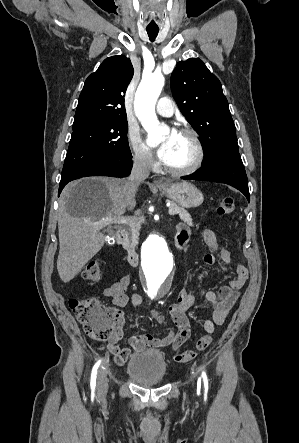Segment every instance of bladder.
Returning a JSON list of instances; mask_svg holds the SVG:
<instances>
[{"instance_id":"1","label":"bladder","mask_w":299,"mask_h":443,"mask_svg":"<svg viewBox=\"0 0 299 443\" xmlns=\"http://www.w3.org/2000/svg\"><path fill=\"white\" fill-rule=\"evenodd\" d=\"M167 364L158 350L135 353L126 363V372L136 384L146 387L161 384L166 376Z\"/></svg>"}]
</instances>
